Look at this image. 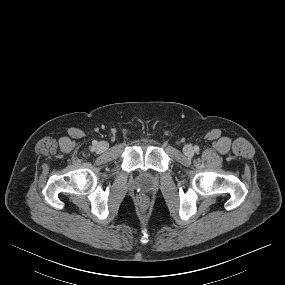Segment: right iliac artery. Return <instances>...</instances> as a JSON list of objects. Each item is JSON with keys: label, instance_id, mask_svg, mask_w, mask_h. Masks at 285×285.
<instances>
[{"label": "right iliac artery", "instance_id": "obj_1", "mask_svg": "<svg viewBox=\"0 0 285 285\" xmlns=\"http://www.w3.org/2000/svg\"><path fill=\"white\" fill-rule=\"evenodd\" d=\"M96 144H97V142H96V141H94V142H93V145H96Z\"/></svg>", "mask_w": 285, "mask_h": 285}]
</instances>
